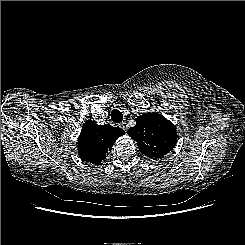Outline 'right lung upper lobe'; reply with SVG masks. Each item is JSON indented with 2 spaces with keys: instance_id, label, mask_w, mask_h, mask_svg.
<instances>
[{
  "instance_id": "1",
  "label": "right lung upper lobe",
  "mask_w": 245,
  "mask_h": 245,
  "mask_svg": "<svg viewBox=\"0 0 245 245\" xmlns=\"http://www.w3.org/2000/svg\"><path fill=\"white\" fill-rule=\"evenodd\" d=\"M124 134V131L111 125H97L87 120L78 138L77 147L79 157L87 162L99 164L114 142Z\"/></svg>"
}]
</instances>
